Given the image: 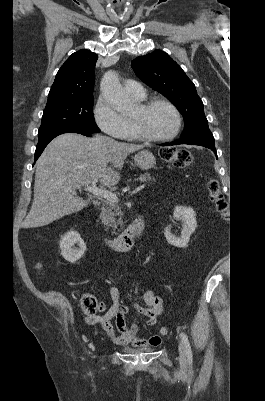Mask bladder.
Masks as SVG:
<instances>
[{"mask_svg":"<svg viewBox=\"0 0 265 401\" xmlns=\"http://www.w3.org/2000/svg\"><path fill=\"white\" fill-rule=\"evenodd\" d=\"M124 350H126L128 352H139V351L148 352V351H152L153 347H149V348H145V349L124 348Z\"/></svg>","mask_w":265,"mask_h":401,"instance_id":"1","label":"bladder"}]
</instances>
